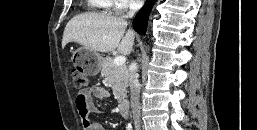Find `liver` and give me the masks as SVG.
Masks as SVG:
<instances>
[{
  "instance_id": "liver-1",
  "label": "liver",
  "mask_w": 257,
  "mask_h": 130,
  "mask_svg": "<svg viewBox=\"0 0 257 130\" xmlns=\"http://www.w3.org/2000/svg\"><path fill=\"white\" fill-rule=\"evenodd\" d=\"M122 17L85 13L73 17L66 25L62 47L77 42L95 52H112L116 48L122 55H129L134 45V32L128 30Z\"/></svg>"
}]
</instances>
